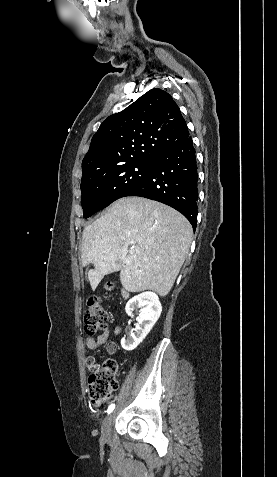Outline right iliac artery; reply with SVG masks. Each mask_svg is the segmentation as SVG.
<instances>
[{
  "instance_id": "82829eb1",
  "label": "right iliac artery",
  "mask_w": 277,
  "mask_h": 477,
  "mask_svg": "<svg viewBox=\"0 0 277 477\" xmlns=\"http://www.w3.org/2000/svg\"><path fill=\"white\" fill-rule=\"evenodd\" d=\"M114 408H115V404H111L107 409V413L108 414L111 413L114 410Z\"/></svg>"
}]
</instances>
